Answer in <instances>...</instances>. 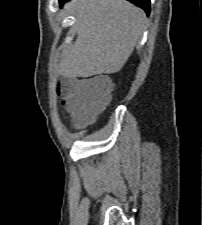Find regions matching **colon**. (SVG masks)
<instances>
[{
	"label": "colon",
	"instance_id": "1",
	"mask_svg": "<svg viewBox=\"0 0 202 225\" xmlns=\"http://www.w3.org/2000/svg\"><path fill=\"white\" fill-rule=\"evenodd\" d=\"M59 92L65 89L74 91L86 98V104L91 112L104 109L111 99L113 86L103 83L99 78L90 80L75 79L66 82L65 86H59Z\"/></svg>",
	"mask_w": 202,
	"mask_h": 225
}]
</instances>
